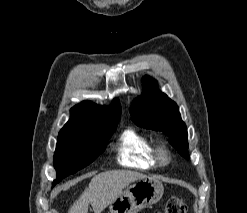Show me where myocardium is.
Listing matches in <instances>:
<instances>
[{
	"label": "myocardium",
	"instance_id": "f54148a6",
	"mask_svg": "<svg viewBox=\"0 0 247 213\" xmlns=\"http://www.w3.org/2000/svg\"><path fill=\"white\" fill-rule=\"evenodd\" d=\"M154 154L159 165L165 166L171 162L170 151L163 143H159L154 146Z\"/></svg>",
	"mask_w": 247,
	"mask_h": 213
}]
</instances>
